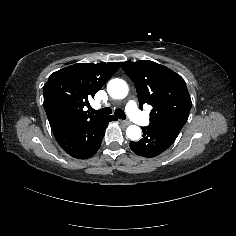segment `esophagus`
<instances>
[{
    "instance_id": "obj_1",
    "label": "esophagus",
    "mask_w": 236,
    "mask_h": 236,
    "mask_svg": "<svg viewBox=\"0 0 236 236\" xmlns=\"http://www.w3.org/2000/svg\"><path fill=\"white\" fill-rule=\"evenodd\" d=\"M120 122L127 126L131 124L129 121H126V120H120Z\"/></svg>"
}]
</instances>
